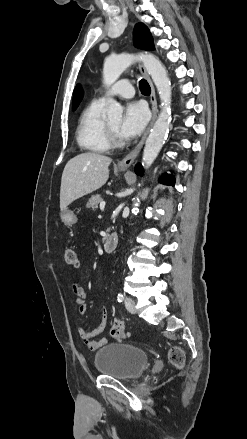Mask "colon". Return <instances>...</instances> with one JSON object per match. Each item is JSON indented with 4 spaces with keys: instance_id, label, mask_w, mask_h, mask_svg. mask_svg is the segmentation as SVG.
<instances>
[{
    "instance_id": "1",
    "label": "colon",
    "mask_w": 247,
    "mask_h": 439,
    "mask_svg": "<svg viewBox=\"0 0 247 439\" xmlns=\"http://www.w3.org/2000/svg\"><path fill=\"white\" fill-rule=\"evenodd\" d=\"M65 261L70 266H76L78 264L77 254L73 249H67L65 251ZM111 336L115 339H123L128 336L125 330V325L122 320H115L111 328ZM169 360L176 367H182L185 361V355L181 348L173 347L169 351Z\"/></svg>"
}]
</instances>
